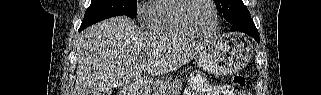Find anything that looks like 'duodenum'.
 Here are the masks:
<instances>
[{"instance_id": "410a0bca", "label": "duodenum", "mask_w": 321, "mask_h": 95, "mask_svg": "<svg viewBox=\"0 0 321 95\" xmlns=\"http://www.w3.org/2000/svg\"><path fill=\"white\" fill-rule=\"evenodd\" d=\"M132 93L128 90V89H124L122 92H121V95H131ZM138 94H141V93H138Z\"/></svg>"}]
</instances>
